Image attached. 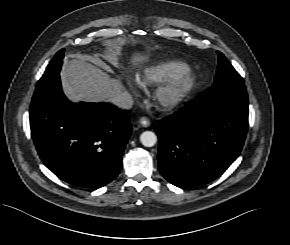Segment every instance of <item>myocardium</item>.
I'll return each mask as SVG.
<instances>
[{"label":"myocardium","mask_w":290,"mask_h":245,"mask_svg":"<svg viewBox=\"0 0 290 245\" xmlns=\"http://www.w3.org/2000/svg\"><path fill=\"white\" fill-rule=\"evenodd\" d=\"M197 82V75L191 70L169 76L156 85L153 98L163 110H172L187 100Z\"/></svg>","instance_id":"f54148a6"}]
</instances>
